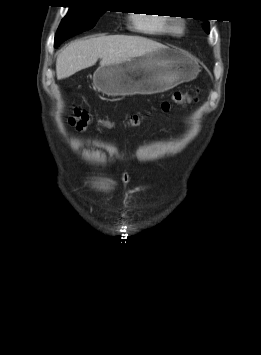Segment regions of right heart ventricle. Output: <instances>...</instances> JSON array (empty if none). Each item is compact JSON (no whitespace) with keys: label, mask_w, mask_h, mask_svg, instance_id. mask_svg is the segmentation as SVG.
<instances>
[{"label":"right heart ventricle","mask_w":261,"mask_h":355,"mask_svg":"<svg viewBox=\"0 0 261 355\" xmlns=\"http://www.w3.org/2000/svg\"><path fill=\"white\" fill-rule=\"evenodd\" d=\"M134 28L149 35H166L171 33L170 19L164 16L135 15L132 19Z\"/></svg>","instance_id":"right-heart-ventricle-1"}]
</instances>
